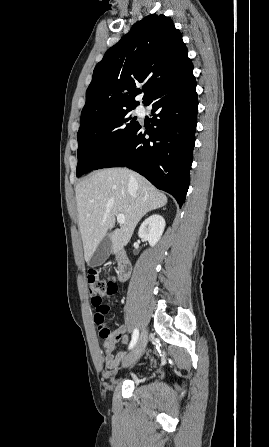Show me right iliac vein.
<instances>
[{"mask_svg": "<svg viewBox=\"0 0 269 447\" xmlns=\"http://www.w3.org/2000/svg\"><path fill=\"white\" fill-rule=\"evenodd\" d=\"M147 339H148V333L146 330H143L138 341L136 342V345L134 346L132 351L125 357V359L123 361L124 366L133 364L141 357V355L144 353V350L146 348Z\"/></svg>", "mask_w": 269, "mask_h": 447, "instance_id": "63e3f726", "label": "right iliac vein"}]
</instances>
